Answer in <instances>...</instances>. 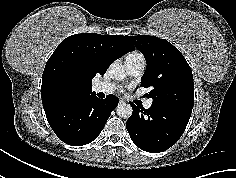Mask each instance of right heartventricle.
<instances>
[{
	"instance_id": "e07e8e85",
	"label": "right heart ventricle",
	"mask_w": 236,
	"mask_h": 178,
	"mask_svg": "<svg viewBox=\"0 0 236 178\" xmlns=\"http://www.w3.org/2000/svg\"><path fill=\"white\" fill-rule=\"evenodd\" d=\"M128 56H136V57H143L141 53L134 51L132 53H130Z\"/></svg>"
}]
</instances>
